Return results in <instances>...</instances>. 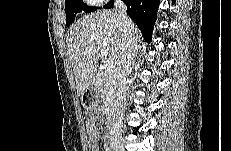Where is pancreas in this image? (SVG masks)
I'll return each mask as SVG.
<instances>
[{"mask_svg":"<svg viewBox=\"0 0 231 151\" xmlns=\"http://www.w3.org/2000/svg\"><path fill=\"white\" fill-rule=\"evenodd\" d=\"M114 79L111 72L100 71L97 74L95 86L101 94L103 105L109 107L113 100L114 95Z\"/></svg>","mask_w":231,"mask_h":151,"instance_id":"1","label":"pancreas"}]
</instances>
